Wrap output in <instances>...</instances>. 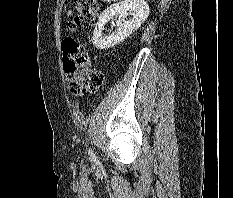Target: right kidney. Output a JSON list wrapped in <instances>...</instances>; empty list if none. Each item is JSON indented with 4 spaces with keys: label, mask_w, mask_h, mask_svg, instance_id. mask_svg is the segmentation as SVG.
<instances>
[{
    "label": "right kidney",
    "mask_w": 233,
    "mask_h": 198,
    "mask_svg": "<svg viewBox=\"0 0 233 198\" xmlns=\"http://www.w3.org/2000/svg\"><path fill=\"white\" fill-rule=\"evenodd\" d=\"M132 19L126 20L128 15ZM149 14V5L145 0H123L109 6L99 17L94 29L92 42L97 49H109L124 41L145 21ZM119 16L116 23L117 29L109 35H103L105 24Z\"/></svg>",
    "instance_id": "ca27d5eb"
}]
</instances>
